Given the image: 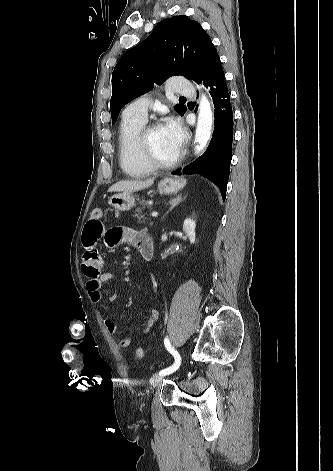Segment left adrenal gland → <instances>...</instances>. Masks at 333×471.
<instances>
[{
	"mask_svg": "<svg viewBox=\"0 0 333 471\" xmlns=\"http://www.w3.org/2000/svg\"><path fill=\"white\" fill-rule=\"evenodd\" d=\"M184 198H185V197H184ZM184 198H183L182 195L180 194V195L176 196L175 198L171 199V200L169 201L170 208H169V210L165 213V215L163 216V218H164V217L166 216V214H168L173 208H175V206H177L178 204H180V203L183 201Z\"/></svg>",
	"mask_w": 333,
	"mask_h": 471,
	"instance_id": "obj_1",
	"label": "left adrenal gland"
}]
</instances>
